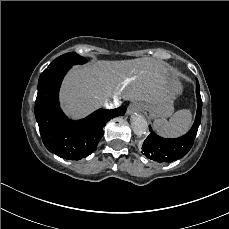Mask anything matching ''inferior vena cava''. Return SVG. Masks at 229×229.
<instances>
[{
  "label": "inferior vena cava",
  "mask_w": 229,
  "mask_h": 229,
  "mask_svg": "<svg viewBox=\"0 0 229 229\" xmlns=\"http://www.w3.org/2000/svg\"><path fill=\"white\" fill-rule=\"evenodd\" d=\"M118 103H119L118 99L117 98H114L113 102L112 101L111 102L110 101H106L104 103V107L106 109H113L114 107H117L118 106Z\"/></svg>",
  "instance_id": "inferior-vena-cava-1"
}]
</instances>
